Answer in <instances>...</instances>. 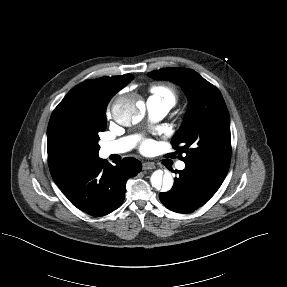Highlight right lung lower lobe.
<instances>
[{
    "label": "right lung lower lobe",
    "mask_w": 287,
    "mask_h": 287,
    "mask_svg": "<svg viewBox=\"0 0 287 287\" xmlns=\"http://www.w3.org/2000/svg\"><path fill=\"white\" fill-rule=\"evenodd\" d=\"M111 165L96 157L64 191L70 202L92 216H104L117 209L125 198L127 179L136 176L142 164L127 157Z\"/></svg>",
    "instance_id": "right-lung-lower-lobe-1"
}]
</instances>
